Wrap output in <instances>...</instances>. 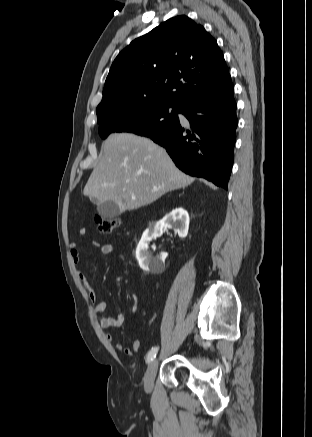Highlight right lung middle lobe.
I'll use <instances>...</instances> for the list:
<instances>
[{
  "label": "right lung middle lobe",
  "mask_w": 312,
  "mask_h": 437,
  "mask_svg": "<svg viewBox=\"0 0 312 437\" xmlns=\"http://www.w3.org/2000/svg\"><path fill=\"white\" fill-rule=\"evenodd\" d=\"M180 108L162 102L123 106L98 119L99 134L105 139L113 132H131L142 136L160 133L178 122Z\"/></svg>",
  "instance_id": "1"
}]
</instances>
